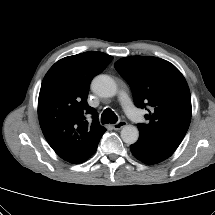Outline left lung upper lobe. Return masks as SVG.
<instances>
[{
  "label": "left lung upper lobe",
  "mask_w": 215,
  "mask_h": 215,
  "mask_svg": "<svg viewBox=\"0 0 215 215\" xmlns=\"http://www.w3.org/2000/svg\"><path fill=\"white\" fill-rule=\"evenodd\" d=\"M129 84L134 103L145 108L146 124H138L141 136L175 151L191 121V96L181 72L170 62L152 56H132L115 63Z\"/></svg>",
  "instance_id": "obj_1"
}]
</instances>
